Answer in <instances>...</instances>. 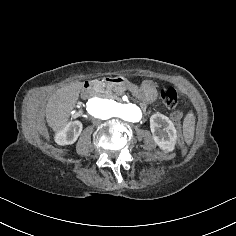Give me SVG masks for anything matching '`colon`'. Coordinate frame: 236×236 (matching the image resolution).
<instances>
[{"label":"colon","instance_id":"obj_1","mask_svg":"<svg viewBox=\"0 0 236 236\" xmlns=\"http://www.w3.org/2000/svg\"><path fill=\"white\" fill-rule=\"evenodd\" d=\"M161 96L163 99V102L165 106L168 109H175L177 106V92L174 88L172 87H166L162 90ZM172 120L175 123V125L179 128L181 126V114L177 111L172 113Z\"/></svg>","mask_w":236,"mask_h":236}]
</instances>
